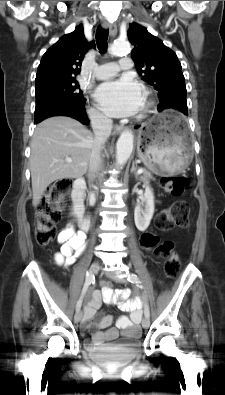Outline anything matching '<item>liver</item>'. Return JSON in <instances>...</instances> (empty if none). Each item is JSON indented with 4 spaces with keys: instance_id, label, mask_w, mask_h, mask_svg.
<instances>
[{
    "instance_id": "1",
    "label": "liver",
    "mask_w": 225,
    "mask_h": 395,
    "mask_svg": "<svg viewBox=\"0 0 225 395\" xmlns=\"http://www.w3.org/2000/svg\"><path fill=\"white\" fill-rule=\"evenodd\" d=\"M93 140L92 132L70 117H51L38 124L30 156L34 207L52 182L86 173ZM66 158L72 162H66Z\"/></svg>"
}]
</instances>
